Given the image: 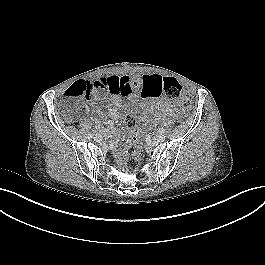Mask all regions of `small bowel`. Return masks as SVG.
<instances>
[{
    "mask_svg": "<svg viewBox=\"0 0 265 265\" xmlns=\"http://www.w3.org/2000/svg\"><path fill=\"white\" fill-rule=\"evenodd\" d=\"M163 76L160 74L143 75L142 77L132 78L129 76L109 75L99 76L93 79L92 83L101 85L96 88V99H102L101 92L108 91L110 93V100L112 106L109 109L110 120L105 122L106 125L111 124V120H117L121 117L120 108L122 107V99L130 101L132 104L138 102V90L140 96L144 99L141 106L142 113H147L149 110L156 112L171 111L173 106L167 104L162 99L154 102H149V99L154 98L152 91L155 88L153 80H162ZM122 98V99H121ZM136 115L137 112H134ZM101 127V125H98Z\"/></svg>",
    "mask_w": 265,
    "mask_h": 265,
    "instance_id": "1",
    "label": "small bowel"
}]
</instances>
